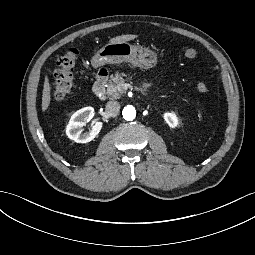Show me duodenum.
I'll use <instances>...</instances> for the list:
<instances>
[{"mask_svg":"<svg viewBox=\"0 0 255 255\" xmlns=\"http://www.w3.org/2000/svg\"><path fill=\"white\" fill-rule=\"evenodd\" d=\"M108 80V72L106 69H101L96 74V80L93 86V92L99 99H104L106 96V83Z\"/></svg>","mask_w":255,"mask_h":255,"instance_id":"410a0bca","label":"duodenum"}]
</instances>
